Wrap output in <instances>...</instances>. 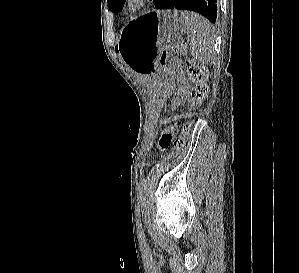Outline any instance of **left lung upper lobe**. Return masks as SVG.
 <instances>
[{
  "label": "left lung upper lobe",
  "mask_w": 299,
  "mask_h": 273,
  "mask_svg": "<svg viewBox=\"0 0 299 273\" xmlns=\"http://www.w3.org/2000/svg\"><path fill=\"white\" fill-rule=\"evenodd\" d=\"M126 0H107L108 2V8L113 12V13H118L119 11L122 10L123 4L125 3Z\"/></svg>",
  "instance_id": "left-lung-upper-lobe-1"
}]
</instances>
